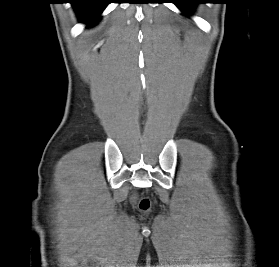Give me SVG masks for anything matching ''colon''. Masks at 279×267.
<instances>
[{
    "label": "colon",
    "instance_id": "obj_1",
    "mask_svg": "<svg viewBox=\"0 0 279 267\" xmlns=\"http://www.w3.org/2000/svg\"><path fill=\"white\" fill-rule=\"evenodd\" d=\"M151 202L148 198H142L139 202V208L142 211H148L150 209Z\"/></svg>",
    "mask_w": 279,
    "mask_h": 267
}]
</instances>
